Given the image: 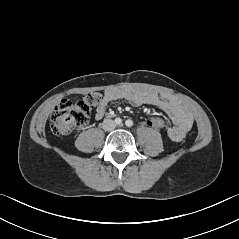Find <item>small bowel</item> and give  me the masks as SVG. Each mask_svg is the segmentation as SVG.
Instances as JSON below:
<instances>
[{
	"mask_svg": "<svg viewBox=\"0 0 239 239\" xmlns=\"http://www.w3.org/2000/svg\"><path fill=\"white\" fill-rule=\"evenodd\" d=\"M118 99H126L136 106L151 105L164 111L173 123V125L169 126L166 134L174 142L181 141L193 125L191 113L174 96L132 87H121L105 91L96 107L95 117L97 119L103 118L108 105Z\"/></svg>",
	"mask_w": 239,
	"mask_h": 239,
	"instance_id": "obj_1",
	"label": "small bowel"
}]
</instances>
